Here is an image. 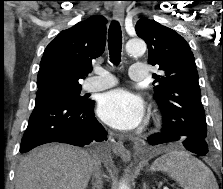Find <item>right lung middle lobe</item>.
Here are the masks:
<instances>
[{
  "mask_svg": "<svg viewBox=\"0 0 223 189\" xmlns=\"http://www.w3.org/2000/svg\"><path fill=\"white\" fill-rule=\"evenodd\" d=\"M81 87L76 88H57L44 92H37V97H52V98H63L71 100L76 103H84L86 100L81 97L80 94ZM36 97V98H37Z\"/></svg>",
  "mask_w": 223,
  "mask_h": 189,
  "instance_id": "1",
  "label": "right lung middle lobe"
}]
</instances>
